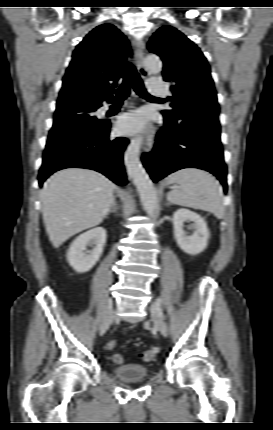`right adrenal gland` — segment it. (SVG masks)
Here are the masks:
<instances>
[{"instance_id": "right-adrenal-gland-1", "label": "right adrenal gland", "mask_w": 273, "mask_h": 430, "mask_svg": "<svg viewBox=\"0 0 273 430\" xmlns=\"http://www.w3.org/2000/svg\"><path fill=\"white\" fill-rule=\"evenodd\" d=\"M117 210H118V206L116 203V199L114 198L111 208L107 214H110L111 212L117 213Z\"/></svg>"}]
</instances>
